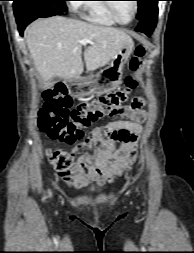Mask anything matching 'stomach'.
<instances>
[{
  "label": "stomach",
  "instance_id": "obj_1",
  "mask_svg": "<svg viewBox=\"0 0 194 253\" xmlns=\"http://www.w3.org/2000/svg\"><path fill=\"white\" fill-rule=\"evenodd\" d=\"M131 52L132 47L125 45L116 53L105 69L85 78L69 79L70 93L75 97H84L91 94H104L116 89L121 82L124 63Z\"/></svg>",
  "mask_w": 194,
  "mask_h": 253
}]
</instances>
